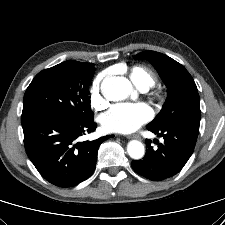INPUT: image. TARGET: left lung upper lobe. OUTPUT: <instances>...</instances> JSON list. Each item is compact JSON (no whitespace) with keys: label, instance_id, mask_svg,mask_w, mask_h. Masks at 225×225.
Listing matches in <instances>:
<instances>
[{"label":"left lung upper lobe","instance_id":"obj_1","mask_svg":"<svg viewBox=\"0 0 225 225\" xmlns=\"http://www.w3.org/2000/svg\"><path fill=\"white\" fill-rule=\"evenodd\" d=\"M134 58L151 62L168 88L162 110L147 127L161 129L177 126L199 130V95L189 72L180 63L159 52L144 51Z\"/></svg>","mask_w":225,"mask_h":225}]
</instances>
